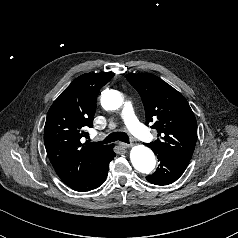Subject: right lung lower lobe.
<instances>
[{
  "mask_svg": "<svg viewBox=\"0 0 238 238\" xmlns=\"http://www.w3.org/2000/svg\"><path fill=\"white\" fill-rule=\"evenodd\" d=\"M116 156L111 149L110 152L102 158L89 172L81 178L68 184L75 191L85 192L98 188L102 185L108 174L109 163Z\"/></svg>",
  "mask_w": 238,
  "mask_h": 238,
  "instance_id": "right-lung-lower-lobe-1",
  "label": "right lung lower lobe"
}]
</instances>
